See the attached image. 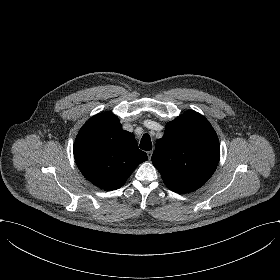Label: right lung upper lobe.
<instances>
[{
    "label": "right lung upper lobe",
    "instance_id": "right-lung-upper-lobe-1",
    "mask_svg": "<svg viewBox=\"0 0 280 280\" xmlns=\"http://www.w3.org/2000/svg\"><path fill=\"white\" fill-rule=\"evenodd\" d=\"M74 157L83 176L105 190L120 188L147 160L134 135L110 113L97 114L84 124L74 143Z\"/></svg>",
    "mask_w": 280,
    "mask_h": 280
}]
</instances>
